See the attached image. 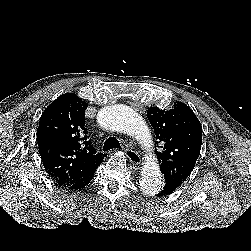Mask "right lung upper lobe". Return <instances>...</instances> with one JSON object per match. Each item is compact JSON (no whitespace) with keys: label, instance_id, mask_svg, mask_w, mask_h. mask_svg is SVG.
Segmentation results:
<instances>
[{"label":"right lung upper lobe","instance_id":"obj_1","mask_svg":"<svg viewBox=\"0 0 251 251\" xmlns=\"http://www.w3.org/2000/svg\"><path fill=\"white\" fill-rule=\"evenodd\" d=\"M87 107L75 93H65L40 118L37 140L41 160L51 179L63 188L84 187L105 157L97 153L87 135Z\"/></svg>","mask_w":251,"mask_h":251}]
</instances>
